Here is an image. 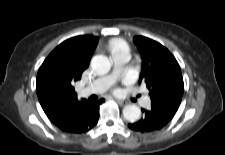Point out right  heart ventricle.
<instances>
[{
    "label": "right heart ventricle",
    "mask_w": 225,
    "mask_h": 155,
    "mask_svg": "<svg viewBox=\"0 0 225 155\" xmlns=\"http://www.w3.org/2000/svg\"><path fill=\"white\" fill-rule=\"evenodd\" d=\"M109 50L110 52H114V51H117L119 49H122V48H128L127 44L120 40V39H115V40H112L110 43H109Z\"/></svg>",
    "instance_id": "e07e8e85"
}]
</instances>
